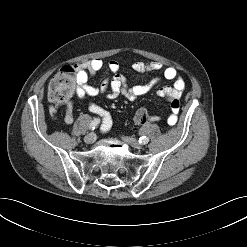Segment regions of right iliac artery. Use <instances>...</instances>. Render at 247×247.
I'll list each match as a JSON object with an SVG mask.
<instances>
[{
  "label": "right iliac artery",
  "instance_id": "obj_1",
  "mask_svg": "<svg viewBox=\"0 0 247 247\" xmlns=\"http://www.w3.org/2000/svg\"><path fill=\"white\" fill-rule=\"evenodd\" d=\"M100 123L99 118H95L89 125V130H94Z\"/></svg>",
  "mask_w": 247,
  "mask_h": 247
}]
</instances>
